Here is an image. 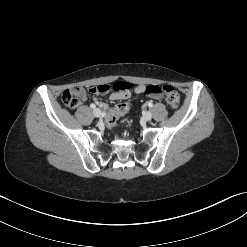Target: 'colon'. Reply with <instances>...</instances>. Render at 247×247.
<instances>
[{
	"label": "colon",
	"mask_w": 247,
	"mask_h": 247,
	"mask_svg": "<svg viewBox=\"0 0 247 247\" xmlns=\"http://www.w3.org/2000/svg\"><path fill=\"white\" fill-rule=\"evenodd\" d=\"M134 88V83L117 82L115 84H101L95 85L89 88V92L93 94H104L110 91L111 89L117 90L121 88ZM138 91L147 92L148 97L155 102H160L165 98L167 104L172 108L176 109L180 104L179 93L170 85H164L162 88L159 86H150L143 85L138 86ZM84 89L80 86H76L70 89H67L62 94L63 103L69 108H75L80 104V99L84 95ZM135 108V105L132 101L128 100L126 103H120L115 105L114 109L111 110L106 119V124L109 128H113L117 122L118 117H124L127 114V110L132 111Z\"/></svg>",
	"instance_id": "colon-1"
}]
</instances>
